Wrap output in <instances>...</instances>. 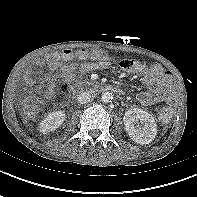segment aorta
I'll return each mask as SVG.
<instances>
[{
    "label": "aorta",
    "mask_w": 197,
    "mask_h": 197,
    "mask_svg": "<svg viewBox=\"0 0 197 197\" xmlns=\"http://www.w3.org/2000/svg\"><path fill=\"white\" fill-rule=\"evenodd\" d=\"M101 99L105 103H109L113 100V94L111 92H104L101 96Z\"/></svg>",
    "instance_id": "aorta-1"
}]
</instances>
